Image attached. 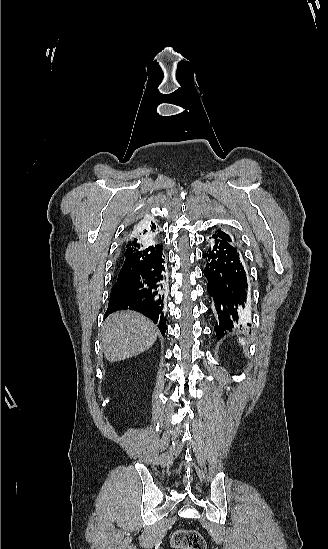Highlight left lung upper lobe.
Here are the masks:
<instances>
[{
    "mask_svg": "<svg viewBox=\"0 0 328 549\" xmlns=\"http://www.w3.org/2000/svg\"><path fill=\"white\" fill-rule=\"evenodd\" d=\"M214 235H216V236H218V237H220V238H222V239H225V240H227V241H230V242L232 241L231 236L228 235L227 233H225L224 231L219 230V231H218L217 233H215Z\"/></svg>",
    "mask_w": 328,
    "mask_h": 549,
    "instance_id": "obj_1",
    "label": "left lung upper lobe"
}]
</instances>
